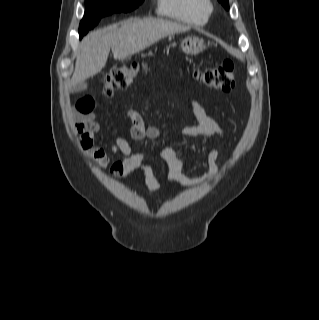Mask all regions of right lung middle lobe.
<instances>
[{"label":"right lung middle lobe","instance_id":"dd1d6c3e","mask_svg":"<svg viewBox=\"0 0 319 320\" xmlns=\"http://www.w3.org/2000/svg\"><path fill=\"white\" fill-rule=\"evenodd\" d=\"M143 0H85V14L80 22L79 36L85 35L104 16L136 9Z\"/></svg>","mask_w":319,"mask_h":320}]
</instances>
